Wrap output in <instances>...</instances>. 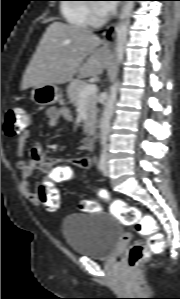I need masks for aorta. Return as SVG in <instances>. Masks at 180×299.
I'll return each instance as SVG.
<instances>
[{
  "instance_id": "aorta-1",
  "label": "aorta",
  "mask_w": 180,
  "mask_h": 299,
  "mask_svg": "<svg viewBox=\"0 0 180 299\" xmlns=\"http://www.w3.org/2000/svg\"><path fill=\"white\" fill-rule=\"evenodd\" d=\"M134 7V1H126L121 13L120 22L116 28V46L115 55L118 64L122 63L125 51V44L130 23V16ZM119 83L116 81L110 88V93L104 103V109L101 119V138L105 144L110 131V121L113 116Z\"/></svg>"
}]
</instances>
